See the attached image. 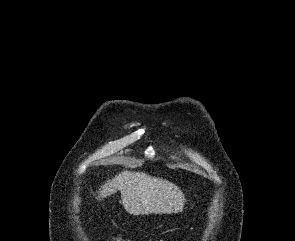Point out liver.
Instances as JSON below:
<instances>
[{
	"label": "liver",
	"mask_w": 295,
	"mask_h": 241,
	"mask_svg": "<svg viewBox=\"0 0 295 241\" xmlns=\"http://www.w3.org/2000/svg\"><path fill=\"white\" fill-rule=\"evenodd\" d=\"M117 190L123 207L134 216L179 212L186 202L176 185L144 172L122 171L99 188L98 199L107 198Z\"/></svg>",
	"instance_id": "liver-1"
}]
</instances>
